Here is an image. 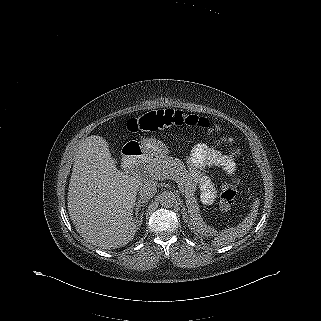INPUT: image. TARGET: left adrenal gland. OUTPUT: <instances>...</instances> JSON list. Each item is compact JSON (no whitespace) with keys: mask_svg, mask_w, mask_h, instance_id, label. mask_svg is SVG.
<instances>
[{"mask_svg":"<svg viewBox=\"0 0 321 321\" xmlns=\"http://www.w3.org/2000/svg\"><path fill=\"white\" fill-rule=\"evenodd\" d=\"M186 216H187V214L184 212L183 219H184V221L187 223V220H186L187 217H186ZM188 226H189V225H188Z\"/></svg>","mask_w":321,"mask_h":321,"instance_id":"a2214340","label":"left adrenal gland"}]
</instances>
